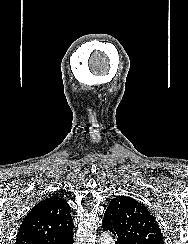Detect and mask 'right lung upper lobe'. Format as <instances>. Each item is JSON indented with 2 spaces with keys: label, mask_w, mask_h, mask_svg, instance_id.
<instances>
[{
  "label": "right lung upper lobe",
  "mask_w": 188,
  "mask_h": 244,
  "mask_svg": "<svg viewBox=\"0 0 188 244\" xmlns=\"http://www.w3.org/2000/svg\"><path fill=\"white\" fill-rule=\"evenodd\" d=\"M70 206L58 195L36 204L24 218L15 244H61L73 235Z\"/></svg>",
  "instance_id": "1"
}]
</instances>
